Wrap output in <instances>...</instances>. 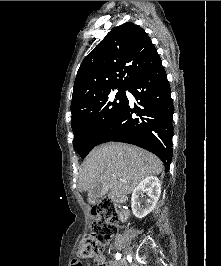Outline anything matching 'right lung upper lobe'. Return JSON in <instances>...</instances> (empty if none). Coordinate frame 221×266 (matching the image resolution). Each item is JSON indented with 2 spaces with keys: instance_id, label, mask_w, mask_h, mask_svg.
<instances>
[{
  "instance_id": "1",
  "label": "right lung upper lobe",
  "mask_w": 221,
  "mask_h": 266,
  "mask_svg": "<svg viewBox=\"0 0 221 266\" xmlns=\"http://www.w3.org/2000/svg\"><path fill=\"white\" fill-rule=\"evenodd\" d=\"M161 62L156 48L140 26L126 22L114 27L81 63L74 83L72 116L90 99L133 81Z\"/></svg>"
}]
</instances>
